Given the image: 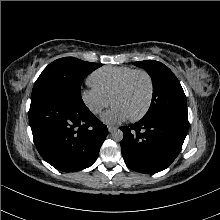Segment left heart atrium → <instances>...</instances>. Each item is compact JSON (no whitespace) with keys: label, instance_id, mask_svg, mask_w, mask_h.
Here are the masks:
<instances>
[{"label":"left heart atrium","instance_id":"left-heart-atrium-1","mask_svg":"<svg viewBox=\"0 0 220 220\" xmlns=\"http://www.w3.org/2000/svg\"><path fill=\"white\" fill-rule=\"evenodd\" d=\"M129 118L127 112L120 106L114 105L110 110L102 115V120L106 123H120Z\"/></svg>","mask_w":220,"mask_h":220}]
</instances>
